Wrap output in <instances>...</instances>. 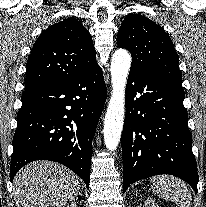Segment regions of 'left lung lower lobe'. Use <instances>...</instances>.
Here are the masks:
<instances>
[{
  "mask_svg": "<svg viewBox=\"0 0 206 207\" xmlns=\"http://www.w3.org/2000/svg\"><path fill=\"white\" fill-rule=\"evenodd\" d=\"M183 100L181 83L130 70L121 136L124 192L135 181L170 174L197 193V165Z\"/></svg>",
  "mask_w": 206,
  "mask_h": 207,
  "instance_id": "0a47b994",
  "label": "left lung lower lobe"
}]
</instances>
